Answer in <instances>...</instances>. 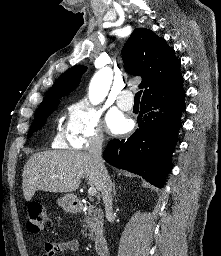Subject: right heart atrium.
Instances as JSON below:
<instances>
[{
	"label": "right heart atrium",
	"instance_id": "obj_1",
	"mask_svg": "<svg viewBox=\"0 0 221 256\" xmlns=\"http://www.w3.org/2000/svg\"><path fill=\"white\" fill-rule=\"evenodd\" d=\"M103 141L100 113L85 101L70 105L57 143L69 148L87 149L90 146H99Z\"/></svg>",
	"mask_w": 221,
	"mask_h": 256
}]
</instances>
